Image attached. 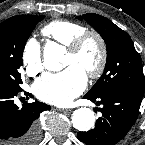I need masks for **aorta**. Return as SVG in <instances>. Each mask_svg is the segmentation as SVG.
<instances>
[{"instance_id": "aorta-1", "label": "aorta", "mask_w": 145, "mask_h": 145, "mask_svg": "<svg viewBox=\"0 0 145 145\" xmlns=\"http://www.w3.org/2000/svg\"><path fill=\"white\" fill-rule=\"evenodd\" d=\"M65 47L56 42H48L43 50V64L49 71H60L63 68L62 59ZM72 124L79 131H88L95 124V115L89 108H79L72 114Z\"/></svg>"}]
</instances>
